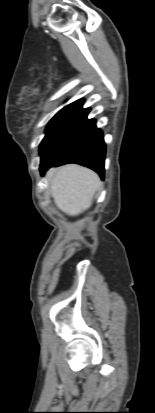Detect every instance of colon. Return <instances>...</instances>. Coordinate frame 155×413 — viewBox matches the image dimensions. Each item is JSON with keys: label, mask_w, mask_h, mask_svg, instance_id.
<instances>
[{"label": "colon", "mask_w": 155, "mask_h": 413, "mask_svg": "<svg viewBox=\"0 0 155 413\" xmlns=\"http://www.w3.org/2000/svg\"><path fill=\"white\" fill-rule=\"evenodd\" d=\"M76 250L74 248H70L69 250H67L66 252V257L70 258L75 254Z\"/></svg>", "instance_id": "obj_1"}]
</instances>
